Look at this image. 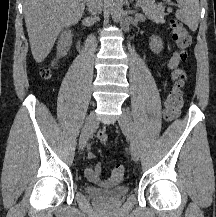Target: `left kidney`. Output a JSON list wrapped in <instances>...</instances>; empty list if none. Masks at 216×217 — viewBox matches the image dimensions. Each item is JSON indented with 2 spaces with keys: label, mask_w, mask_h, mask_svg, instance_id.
<instances>
[{
  "label": "left kidney",
  "mask_w": 216,
  "mask_h": 217,
  "mask_svg": "<svg viewBox=\"0 0 216 217\" xmlns=\"http://www.w3.org/2000/svg\"><path fill=\"white\" fill-rule=\"evenodd\" d=\"M150 49L155 54L160 53V51L163 49V42L160 37L152 35L150 37Z\"/></svg>",
  "instance_id": "5707ae66"
}]
</instances>
